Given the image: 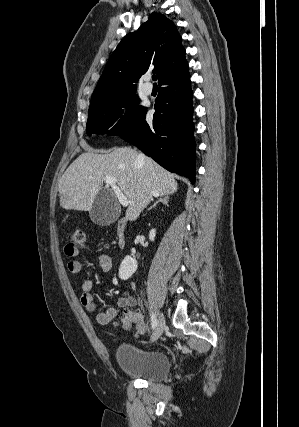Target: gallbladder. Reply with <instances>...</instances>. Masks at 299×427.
Wrapping results in <instances>:
<instances>
[{
  "label": "gallbladder",
  "mask_w": 299,
  "mask_h": 427,
  "mask_svg": "<svg viewBox=\"0 0 299 427\" xmlns=\"http://www.w3.org/2000/svg\"><path fill=\"white\" fill-rule=\"evenodd\" d=\"M89 216L93 223L100 226L114 223L120 216V209L114 193L102 189L94 200Z\"/></svg>",
  "instance_id": "obj_1"
}]
</instances>
